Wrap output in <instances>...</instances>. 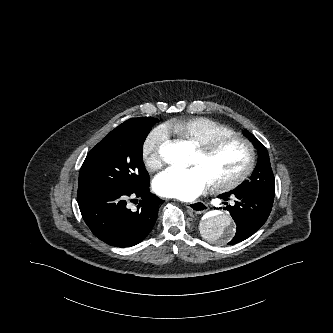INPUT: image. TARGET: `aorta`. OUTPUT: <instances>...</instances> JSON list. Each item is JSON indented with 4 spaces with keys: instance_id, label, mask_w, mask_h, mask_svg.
Masks as SVG:
<instances>
[{
    "instance_id": "obj_1",
    "label": "aorta",
    "mask_w": 333,
    "mask_h": 333,
    "mask_svg": "<svg viewBox=\"0 0 333 333\" xmlns=\"http://www.w3.org/2000/svg\"><path fill=\"white\" fill-rule=\"evenodd\" d=\"M161 155L166 163L185 166L189 163L190 150L183 144H170L161 148ZM234 232L232 218L223 212L214 211L202 222V236L209 241L227 242Z\"/></svg>"
}]
</instances>
